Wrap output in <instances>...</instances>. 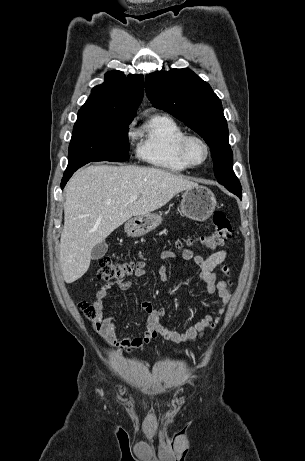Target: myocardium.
<instances>
[{"label": "myocardium", "instance_id": "f54148a6", "mask_svg": "<svg viewBox=\"0 0 305 461\" xmlns=\"http://www.w3.org/2000/svg\"><path fill=\"white\" fill-rule=\"evenodd\" d=\"M192 141L199 142L204 150H205V157L201 162H194L190 155H189V145ZM179 153L184 162L189 166V167H199L207 162V160L210 157V147L208 143L200 136L195 135V134H186L182 140L180 141L179 144Z\"/></svg>", "mask_w": 305, "mask_h": 461}]
</instances>
